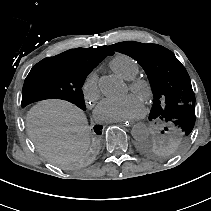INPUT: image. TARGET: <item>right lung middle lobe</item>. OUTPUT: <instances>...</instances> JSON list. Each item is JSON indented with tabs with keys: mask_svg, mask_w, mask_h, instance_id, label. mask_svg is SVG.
<instances>
[{
	"mask_svg": "<svg viewBox=\"0 0 211 211\" xmlns=\"http://www.w3.org/2000/svg\"><path fill=\"white\" fill-rule=\"evenodd\" d=\"M101 61H87L70 57H48L37 63L25 79L21 106L50 98L67 100L86 110L81 87L86 76ZM102 126H94L101 134Z\"/></svg>",
	"mask_w": 211,
	"mask_h": 211,
	"instance_id": "1",
	"label": "right lung middle lobe"
}]
</instances>
